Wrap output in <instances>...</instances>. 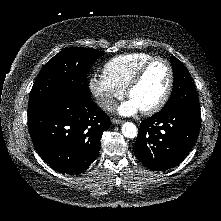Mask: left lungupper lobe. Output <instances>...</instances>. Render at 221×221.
Instances as JSON below:
<instances>
[{"label":"left lung upper lobe","instance_id":"obj_1","mask_svg":"<svg viewBox=\"0 0 221 221\" xmlns=\"http://www.w3.org/2000/svg\"><path fill=\"white\" fill-rule=\"evenodd\" d=\"M170 60L174 73V86L163 109L180 106L200 109L197 92L188 70L176 57L171 56Z\"/></svg>","mask_w":221,"mask_h":221}]
</instances>
